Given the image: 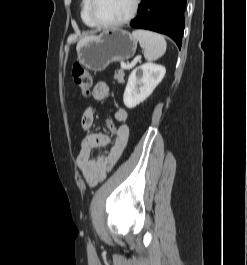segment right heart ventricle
<instances>
[{"mask_svg":"<svg viewBox=\"0 0 247 265\" xmlns=\"http://www.w3.org/2000/svg\"><path fill=\"white\" fill-rule=\"evenodd\" d=\"M89 3L90 0H81L80 4V16L83 21V23L90 27V28H95L96 26L92 22L90 16H89Z\"/></svg>","mask_w":247,"mask_h":265,"instance_id":"e07e8e85","label":"right heart ventricle"}]
</instances>
